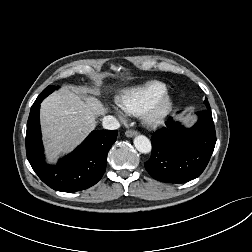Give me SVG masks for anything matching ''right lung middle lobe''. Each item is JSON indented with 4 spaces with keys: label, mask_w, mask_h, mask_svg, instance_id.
I'll return each mask as SVG.
<instances>
[{
    "label": "right lung middle lobe",
    "mask_w": 252,
    "mask_h": 252,
    "mask_svg": "<svg viewBox=\"0 0 252 252\" xmlns=\"http://www.w3.org/2000/svg\"><path fill=\"white\" fill-rule=\"evenodd\" d=\"M58 89L57 86H52L49 85L48 87H46L42 93L38 96V98H45L47 97L49 94H51L54 90Z\"/></svg>",
    "instance_id": "obj_1"
}]
</instances>
